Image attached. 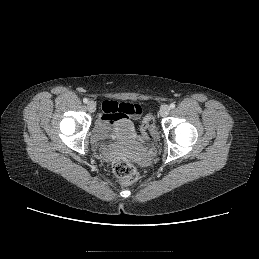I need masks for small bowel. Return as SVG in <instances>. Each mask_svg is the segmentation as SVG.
<instances>
[{
	"mask_svg": "<svg viewBox=\"0 0 259 259\" xmlns=\"http://www.w3.org/2000/svg\"><path fill=\"white\" fill-rule=\"evenodd\" d=\"M102 114L99 118V130L105 132L119 123L129 126L132 119L141 116L142 109L138 104L118 103L106 100L102 104Z\"/></svg>",
	"mask_w": 259,
	"mask_h": 259,
	"instance_id": "1",
	"label": "small bowel"
}]
</instances>
